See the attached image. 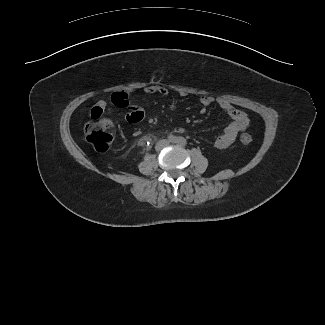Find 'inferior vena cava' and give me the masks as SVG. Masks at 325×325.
Segmentation results:
<instances>
[{
	"mask_svg": "<svg viewBox=\"0 0 325 325\" xmlns=\"http://www.w3.org/2000/svg\"><path fill=\"white\" fill-rule=\"evenodd\" d=\"M168 142L166 140H161L156 144V150H161L163 147L167 146Z\"/></svg>",
	"mask_w": 325,
	"mask_h": 325,
	"instance_id": "602c4592",
	"label": "inferior vena cava"
}]
</instances>
